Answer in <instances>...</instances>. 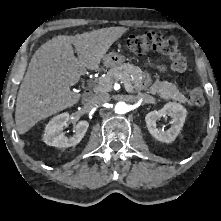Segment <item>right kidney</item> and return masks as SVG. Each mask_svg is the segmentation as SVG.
<instances>
[{
	"instance_id": "1",
	"label": "right kidney",
	"mask_w": 221,
	"mask_h": 221,
	"mask_svg": "<svg viewBox=\"0 0 221 221\" xmlns=\"http://www.w3.org/2000/svg\"><path fill=\"white\" fill-rule=\"evenodd\" d=\"M69 121V114L67 112L61 113L46 125L43 135L44 142L49 146L59 148L71 147L77 145L84 137L89 124L85 120L79 121L75 125V134L72 137H66L62 131Z\"/></svg>"
}]
</instances>
